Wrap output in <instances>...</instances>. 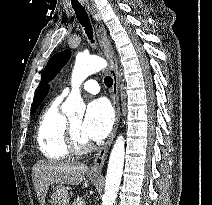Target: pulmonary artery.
<instances>
[{"mask_svg": "<svg viewBox=\"0 0 212 205\" xmlns=\"http://www.w3.org/2000/svg\"><path fill=\"white\" fill-rule=\"evenodd\" d=\"M82 90L90 94H97L100 88L96 80L90 79L83 84ZM70 92H71L70 88H65L59 97L60 98L66 97L70 94Z\"/></svg>", "mask_w": 212, "mask_h": 205, "instance_id": "obj_1", "label": "pulmonary artery"}]
</instances>
